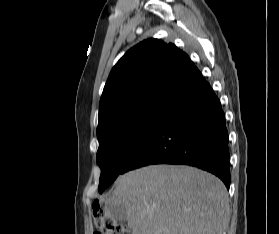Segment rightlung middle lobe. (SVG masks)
<instances>
[{
  "mask_svg": "<svg viewBox=\"0 0 279 234\" xmlns=\"http://www.w3.org/2000/svg\"><path fill=\"white\" fill-rule=\"evenodd\" d=\"M167 107L146 106L124 112L97 128V163L101 168L99 192L102 193L119 174L160 120Z\"/></svg>",
  "mask_w": 279,
  "mask_h": 234,
  "instance_id": "1",
  "label": "right lung middle lobe"
}]
</instances>
